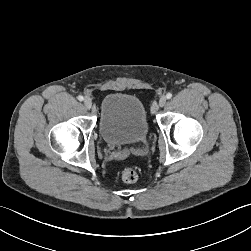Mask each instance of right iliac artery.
<instances>
[{
    "label": "right iliac artery",
    "instance_id": "right-iliac-artery-1",
    "mask_svg": "<svg viewBox=\"0 0 251 251\" xmlns=\"http://www.w3.org/2000/svg\"><path fill=\"white\" fill-rule=\"evenodd\" d=\"M77 99H78L79 101H83V100H84V97H83L82 95H79V96L77 97Z\"/></svg>",
    "mask_w": 251,
    "mask_h": 251
}]
</instances>
